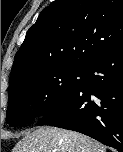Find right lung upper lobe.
Here are the masks:
<instances>
[{
	"label": "right lung upper lobe",
	"mask_w": 123,
	"mask_h": 152,
	"mask_svg": "<svg viewBox=\"0 0 123 152\" xmlns=\"http://www.w3.org/2000/svg\"><path fill=\"white\" fill-rule=\"evenodd\" d=\"M123 42V0H56L28 30L11 70L23 77L61 68L84 69Z\"/></svg>",
	"instance_id": "right-lung-upper-lobe-1"
}]
</instances>
